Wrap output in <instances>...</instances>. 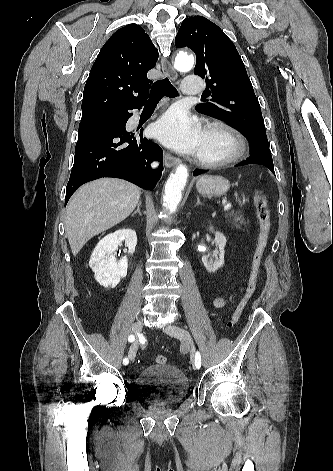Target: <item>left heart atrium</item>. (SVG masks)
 <instances>
[{
	"mask_svg": "<svg viewBox=\"0 0 333 471\" xmlns=\"http://www.w3.org/2000/svg\"><path fill=\"white\" fill-rule=\"evenodd\" d=\"M203 130L199 122L182 109H171L155 124L154 134L165 145L182 153H198Z\"/></svg>",
	"mask_w": 333,
	"mask_h": 471,
	"instance_id": "left-heart-atrium-1",
	"label": "left heart atrium"
}]
</instances>
